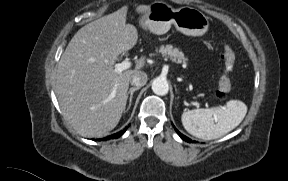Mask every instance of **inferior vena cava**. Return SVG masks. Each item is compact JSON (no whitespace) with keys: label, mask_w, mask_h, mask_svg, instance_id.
<instances>
[{"label":"inferior vena cava","mask_w":288,"mask_h":181,"mask_svg":"<svg viewBox=\"0 0 288 181\" xmlns=\"http://www.w3.org/2000/svg\"><path fill=\"white\" fill-rule=\"evenodd\" d=\"M147 74L143 71H138L132 76L130 83L136 87H142L147 83Z\"/></svg>","instance_id":"obj_1"}]
</instances>
